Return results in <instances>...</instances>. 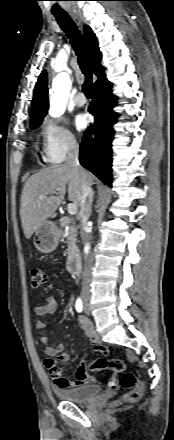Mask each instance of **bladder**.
Returning <instances> with one entry per match:
<instances>
[{
  "instance_id": "1",
  "label": "bladder",
  "mask_w": 174,
  "mask_h": 440,
  "mask_svg": "<svg viewBox=\"0 0 174 440\" xmlns=\"http://www.w3.org/2000/svg\"><path fill=\"white\" fill-rule=\"evenodd\" d=\"M100 393L97 385H83L68 390H56L59 398L68 402L84 403L96 397Z\"/></svg>"
}]
</instances>
